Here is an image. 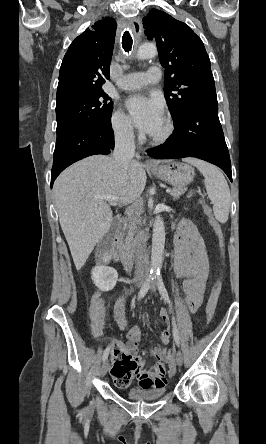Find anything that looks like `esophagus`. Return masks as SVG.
I'll list each match as a JSON object with an SVG mask.
<instances>
[{"mask_svg": "<svg viewBox=\"0 0 266 444\" xmlns=\"http://www.w3.org/2000/svg\"><path fill=\"white\" fill-rule=\"evenodd\" d=\"M130 27L136 37H139L141 35V32H142L141 22L138 18H134L133 20L130 21ZM144 164L147 167H156L157 166V162H155L154 160L149 159V158H147L145 160Z\"/></svg>", "mask_w": 266, "mask_h": 444, "instance_id": "1", "label": "esophagus"}]
</instances>
